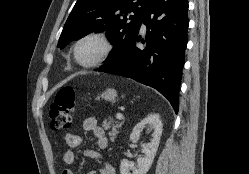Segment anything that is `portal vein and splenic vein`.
<instances>
[{
  "instance_id": "portal-vein-and-splenic-vein-1",
  "label": "portal vein and splenic vein",
  "mask_w": 249,
  "mask_h": 174,
  "mask_svg": "<svg viewBox=\"0 0 249 174\" xmlns=\"http://www.w3.org/2000/svg\"><path fill=\"white\" fill-rule=\"evenodd\" d=\"M116 118H117L118 120H123V119H124V117H123V115H122L121 113H117V114H116Z\"/></svg>"
}]
</instances>
